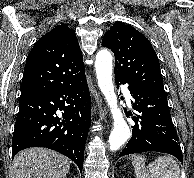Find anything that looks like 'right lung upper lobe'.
I'll return each instance as SVG.
<instances>
[{"mask_svg": "<svg viewBox=\"0 0 194 178\" xmlns=\"http://www.w3.org/2000/svg\"><path fill=\"white\" fill-rule=\"evenodd\" d=\"M83 78L85 70L75 32L60 24L42 36L29 53L20 98L72 85Z\"/></svg>", "mask_w": 194, "mask_h": 178, "instance_id": "1", "label": "right lung upper lobe"}]
</instances>
